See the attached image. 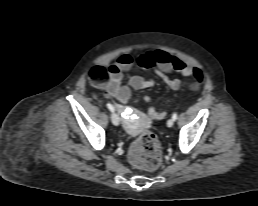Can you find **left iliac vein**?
Returning <instances> with one entry per match:
<instances>
[{"label":"left iliac vein","instance_id":"obj_1","mask_svg":"<svg viewBox=\"0 0 258 206\" xmlns=\"http://www.w3.org/2000/svg\"><path fill=\"white\" fill-rule=\"evenodd\" d=\"M174 125V120H173V118H171V119H169L168 121H167V126L168 127H172Z\"/></svg>","mask_w":258,"mask_h":206}]
</instances>
